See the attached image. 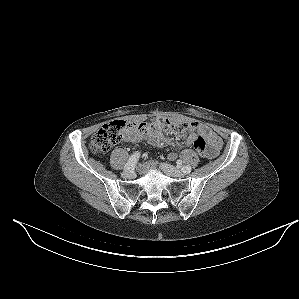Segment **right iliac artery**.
<instances>
[{"mask_svg":"<svg viewBox=\"0 0 299 299\" xmlns=\"http://www.w3.org/2000/svg\"><path fill=\"white\" fill-rule=\"evenodd\" d=\"M140 157L139 152H135L127 161V163L124 166V170H130L133 169L135 164L137 163L138 159Z\"/></svg>","mask_w":299,"mask_h":299,"instance_id":"right-iliac-artery-1","label":"right iliac artery"}]
</instances>
